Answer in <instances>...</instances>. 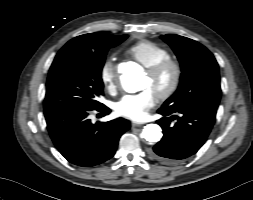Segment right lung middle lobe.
Masks as SVG:
<instances>
[{
  "label": "right lung middle lobe",
  "mask_w": 253,
  "mask_h": 200,
  "mask_svg": "<svg viewBox=\"0 0 253 200\" xmlns=\"http://www.w3.org/2000/svg\"><path fill=\"white\" fill-rule=\"evenodd\" d=\"M128 36L119 35L97 44L69 41L56 55L48 75L44 110L73 107L95 109L103 104L101 71L109 48Z\"/></svg>",
  "instance_id": "1"
}]
</instances>
